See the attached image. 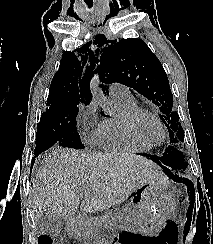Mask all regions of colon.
Returning a JSON list of instances; mask_svg holds the SVG:
<instances>
[{
  "label": "colon",
  "instance_id": "1",
  "mask_svg": "<svg viewBox=\"0 0 213 244\" xmlns=\"http://www.w3.org/2000/svg\"><path fill=\"white\" fill-rule=\"evenodd\" d=\"M39 244H52V238L50 236H41L39 238Z\"/></svg>",
  "mask_w": 213,
  "mask_h": 244
}]
</instances>
